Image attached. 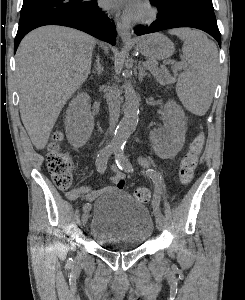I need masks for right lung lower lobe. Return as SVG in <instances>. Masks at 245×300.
<instances>
[{
  "label": "right lung lower lobe",
  "mask_w": 245,
  "mask_h": 300,
  "mask_svg": "<svg viewBox=\"0 0 245 300\" xmlns=\"http://www.w3.org/2000/svg\"><path fill=\"white\" fill-rule=\"evenodd\" d=\"M44 25L72 27L115 45L116 26L96 3L83 12H65L19 26L14 42V52H16L20 41L28 32Z\"/></svg>",
  "instance_id": "98d812e1"
}]
</instances>
